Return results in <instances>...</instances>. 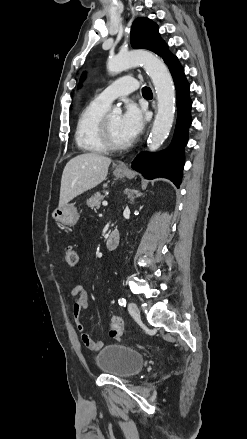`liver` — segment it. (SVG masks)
<instances>
[{
	"label": "liver",
	"instance_id": "6515ba94",
	"mask_svg": "<svg viewBox=\"0 0 247 439\" xmlns=\"http://www.w3.org/2000/svg\"><path fill=\"white\" fill-rule=\"evenodd\" d=\"M111 161L97 153H84L68 161L61 178L59 207L103 182Z\"/></svg>",
	"mask_w": 247,
	"mask_h": 439
}]
</instances>
